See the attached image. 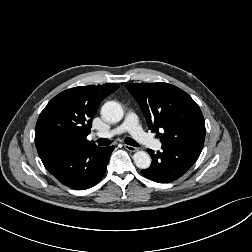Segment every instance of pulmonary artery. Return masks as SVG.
I'll list each match as a JSON object with an SVG mask.
<instances>
[{
  "mask_svg": "<svg viewBox=\"0 0 252 252\" xmlns=\"http://www.w3.org/2000/svg\"><path fill=\"white\" fill-rule=\"evenodd\" d=\"M124 132H129L137 142H139L140 144L144 145L147 148L153 150L161 149L162 146L161 142L155 139L152 135L144 132V130L139 124L138 117L134 112L128 113L125 121L121 125L107 132H99L97 133V136L112 137L115 135L122 134Z\"/></svg>",
  "mask_w": 252,
  "mask_h": 252,
  "instance_id": "obj_1",
  "label": "pulmonary artery"
}]
</instances>
